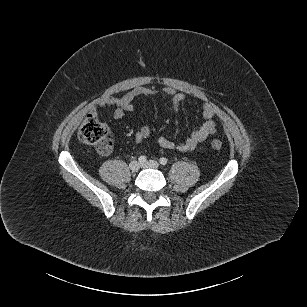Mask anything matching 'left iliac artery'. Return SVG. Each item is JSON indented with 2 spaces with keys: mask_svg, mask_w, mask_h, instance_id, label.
Wrapping results in <instances>:
<instances>
[{
  "mask_svg": "<svg viewBox=\"0 0 307 307\" xmlns=\"http://www.w3.org/2000/svg\"><path fill=\"white\" fill-rule=\"evenodd\" d=\"M159 162H160L161 165H166L168 160L165 157H162V158H160Z\"/></svg>",
  "mask_w": 307,
  "mask_h": 307,
  "instance_id": "1",
  "label": "left iliac artery"
}]
</instances>
